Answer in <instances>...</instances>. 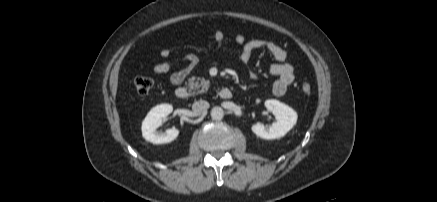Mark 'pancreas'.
<instances>
[{"instance_id": "1", "label": "pancreas", "mask_w": 437, "mask_h": 202, "mask_svg": "<svg viewBox=\"0 0 437 202\" xmlns=\"http://www.w3.org/2000/svg\"><path fill=\"white\" fill-rule=\"evenodd\" d=\"M188 87L193 90H198V93H203L208 90L210 82L200 77H191L188 80Z\"/></svg>"}]
</instances>
